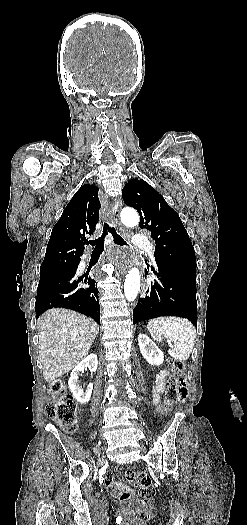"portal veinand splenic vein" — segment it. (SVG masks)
Returning <instances> with one entry per match:
<instances>
[{
    "instance_id": "portal-vein-and-splenic-vein-1",
    "label": "portal vein and splenic vein",
    "mask_w": 247,
    "mask_h": 525,
    "mask_svg": "<svg viewBox=\"0 0 247 525\" xmlns=\"http://www.w3.org/2000/svg\"><path fill=\"white\" fill-rule=\"evenodd\" d=\"M167 343H169V346H172L173 340H169V338H166Z\"/></svg>"
}]
</instances>
